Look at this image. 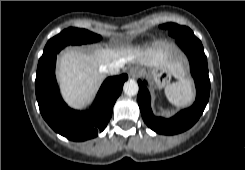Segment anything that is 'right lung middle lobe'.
<instances>
[{
	"instance_id": "right-lung-middle-lobe-1",
	"label": "right lung middle lobe",
	"mask_w": 245,
	"mask_h": 170,
	"mask_svg": "<svg viewBox=\"0 0 245 170\" xmlns=\"http://www.w3.org/2000/svg\"><path fill=\"white\" fill-rule=\"evenodd\" d=\"M100 39V35L89 32L88 30L79 28H68L63 30L60 34L51 38L47 42L42 57L56 49L63 48L67 45H81L93 43L99 41Z\"/></svg>"
}]
</instances>
